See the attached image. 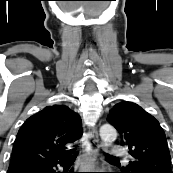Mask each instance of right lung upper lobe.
Returning <instances> with one entry per match:
<instances>
[{
	"instance_id": "cb5924a9",
	"label": "right lung upper lobe",
	"mask_w": 173,
	"mask_h": 173,
	"mask_svg": "<svg viewBox=\"0 0 173 173\" xmlns=\"http://www.w3.org/2000/svg\"><path fill=\"white\" fill-rule=\"evenodd\" d=\"M80 116L65 105L45 107L19 129L9 169L65 159L66 144L82 135Z\"/></svg>"
}]
</instances>
